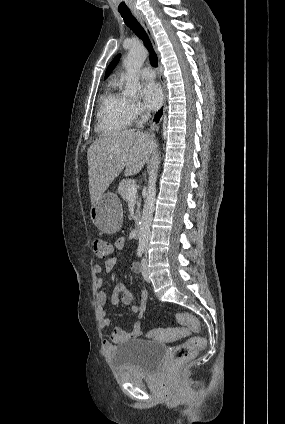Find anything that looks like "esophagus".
I'll return each mask as SVG.
<instances>
[{"label": "esophagus", "mask_w": 285, "mask_h": 424, "mask_svg": "<svg viewBox=\"0 0 285 424\" xmlns=\"http://www.w3.org/2000/svg\"><path fill=\"white\" fill-rule=\"evenodd\" d=\"M133 14L137 18V20L140 22V24L142 25V27L144 28L147 36L149 37V39H150V41H151V43L153 45V48L157 52L156 42L154 40L153 33H152L151 27H150L147 19L139 11H133ZM162 88H163V101H162L161 106L155 112V114L153 115V117H152V119L150 121L149 131H153V130H155L159 126V124L161 123L162 118L164 116L165 110H166L167 90H166L165 81L163 79H162Z\"/></svg>", "instance_id": "esophagus-1"}]
</instances>
